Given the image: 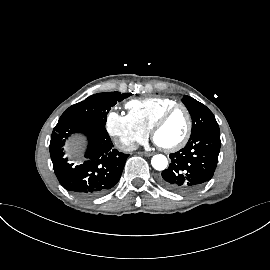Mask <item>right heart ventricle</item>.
<instances>
[{
    "label": "right heart ventricle",
    "instance_id": "e07e8e85",
    "mask_svg": "<svg viewBox=\"0 0 270 270\" xmlns=\"http://www.w3.org/2000/svg\"><path fill=\"white\" fill-rule=\"evenodd\" d=\"M176 103L172 98L150 97L131 100L126 104V108L141 127L150 131L158 117Z\"/></svg>",
    "mask_w": 270,
    "mask_h": 270
}]
</instances>
